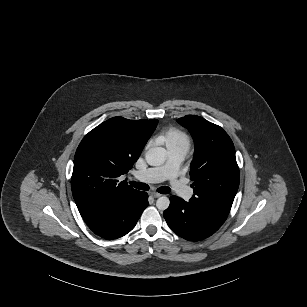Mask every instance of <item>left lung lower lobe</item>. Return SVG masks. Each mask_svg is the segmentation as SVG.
<instances>
[{
  "label": "left lung lower lobe",
  "mask_w": 307,
  "mask_h": 307,
  "mask_svg": "<svg viewBox=\"0 0 307 307\" xmlns=\"http://www.w3.org/2000/svg\"><path fill=\"white\" fill-rule=\"evenodd\" d=\"M164 218L177 235L190 241L209 237L224 223L177 196L170 197V206L164 211Z\"/></svg>",
  "instance_id": "obj_1"
}]
</instances>
